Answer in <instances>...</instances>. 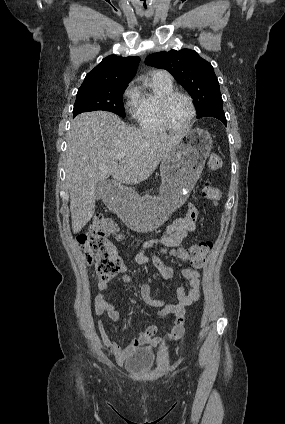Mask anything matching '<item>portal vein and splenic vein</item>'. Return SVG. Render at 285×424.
<instances>
[{
	"instance_id": "obj_1",
	"label": "portal vein and splenic vein",
	"mask_w": 285,
	"mask_h": 424,
	"mask_svg": "<svg viewBox=\"0 0 285 424\" xmlns=\"http://www.w3.org/2000/svg\"><path fill=\"white\" fill-rule=\"evenodd\" d=\"M125 155H126L125 152H121V153L118 154L117 159H122V158L125 157Z\"/></svg>"
}]
</instances>
